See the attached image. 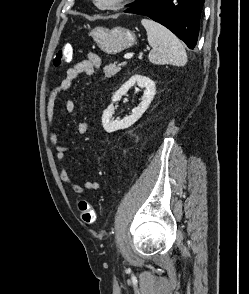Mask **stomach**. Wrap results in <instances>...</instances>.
Here are the masks:
<instances>
[{"instance_id": "obj_1", "label": "stomach", "mask_w": 249, "mask_h": 294, "mask_svg": "<svg viewBox=\"0 0 249 294\" xmlns=\"http://www.w3.org/2000/svg\"><path fill=\"white\" fill-rule=\"evenodd\" d=\"M90 34L98 47L107 54H117L136 43L134 32L122 27H96Z\"/></svg>"}]
</instances>
